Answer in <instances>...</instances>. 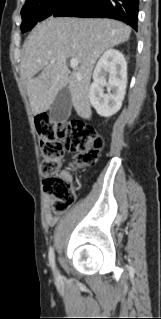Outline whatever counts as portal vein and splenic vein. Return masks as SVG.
<instances>
[{"instance_id":"portal-vein-and-splenic-vein-1","label":"portal vein and splenic vein","mask_w":161,"mask_h":319,"mask_svg":"<svg viewBox=\"0 0 161 319\" xmlns=\"http://www.w3.org/2000/svg\"><path fill=\"white\" fill-rule=\"evenodd\" d=\"M51 62H53V61H51ZM78 64H79L78 59L72 58V59L70 60V66H71V68H73V69L77 68V67H78Z\"/></svg>"}]
</instances>
